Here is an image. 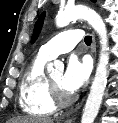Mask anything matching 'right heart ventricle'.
<instances>
[{"mask_svg":"<svg viewBox=\"0 0 118 123\" xmlns=\"http://www.w3.org/2000/svg\"><path fill=\"white\" fill-rule=\"evenodd\" d=\"M48 60L38 54L21 79L19 105L29 115L45 117L53 114L56 110V105L50 97L48 77L44 70Z\"/></svg>","mask_w":118,"mask_h":123,"instance_id":"e07e8e85","label":"right heart ventricle"}]
</instances>
